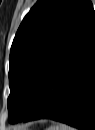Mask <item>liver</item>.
Instances as JSON below:
<instances>
[{"mask_svg":"<svg viewBox=\"0 0 95 130\" xmlns=\"http://www.w3.org/2000/svg\"><path fill=\"white\" fill-rule=\"evenodd\" d=\"M20 129H18V130H21V129H24L25 127H19Z\"/></svg>","mask_w":95,"mask_h":130,"instance_id":"obj_1","label":"liver"}]
</instances>
